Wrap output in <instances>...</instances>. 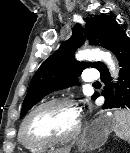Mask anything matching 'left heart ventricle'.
I'll use <instances>...</instances> for the list:
<instances>
[{
	"instance_id": "left-heart-ventricle-1",
	"label": "left heart ventricle",
	"mask_w": 130,
	"mask_h": 153,
	"mask_svg": "<svg viewBox=\"0 0 130 153\" xmlns=\"http://www.w3.org/2000/svg\"><path fill=\"white\" fill-rule=\"evenodd\" d=\"M78 121L76 109L67 105H51L36 112L29 120L26 133L33 139L68 136Z\"/></svg>"
}]
</instances>
